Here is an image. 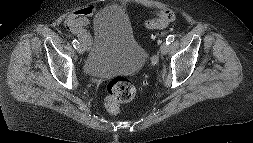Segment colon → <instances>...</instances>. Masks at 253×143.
Here are the masks:
<instances>
[{
    "instance_id": "colon-1",
    "label": "colon",
    "mask_w": 253,
    "mask_h": 143,
    "mask_svg": "<svg viewBox=\"0 0 253 143\" xmlns=\"http://www.w3.org/2000/svg\"><path fill=\"white\" fill-rule=\"evenodd\" d=\"M159 22L150 21L148 26L151 28L157 27ZM166 35V32H161L157 35V41L160 42ZM156 58H152L154 63ZM136 93L135 86L130 80L124 77L113 79L107 87V96L105 99V106L109 113L116 115L119 111V105L131 101Z\"/></svg>"
}]
</instances>
